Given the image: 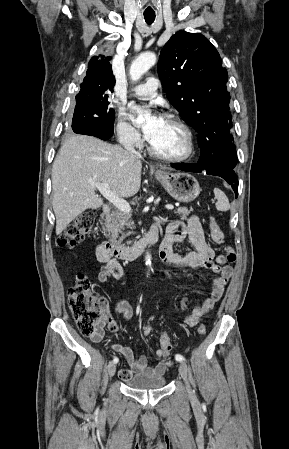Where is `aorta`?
<instances>
[{"label": "aorta", "mask_w": 289, "mask_h": 449, "mask_svg": "<svg viewBox=\"0 0 289 449\" xmlns=\"http://www.w3.org/2000/svg\"><path fill=\"white\" fill-rule=\"evenodd\" d=\"M155 63L156 55L152 52H146L137 57L130 67V77L132 81L139 80ZM144 115L149 116L150 114L146 112ZM145 260L146 265L150 267L151 255L149 253L146 254Z\"/></svg>", "instance_id": "obj_1"}]
</instances>
